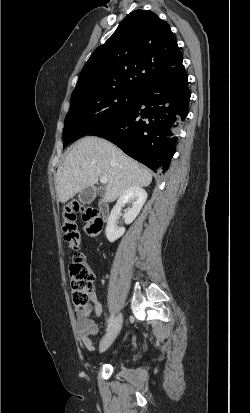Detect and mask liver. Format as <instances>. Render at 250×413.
I'll return each instance as SVG.
<instances>
[{
  "mask_svg": "<svg viewBox=\"0 0 250 413\" xmlns=\"http://www.w3.org/2000/svg\"><path fill=\"white\" fill-rule=\"evenodd\" d=\"M107 178L105 202H113L128 188L146 187L152 182L151 172L127 156L111 142L86 136L68 152L56 174L57 199L67 202L99 177Z\"/></svg>",
  "mask_w": 250,
  "mask_h": 413,
  "instance_id": "1",
  "label": "liver"
}]
</instances>
